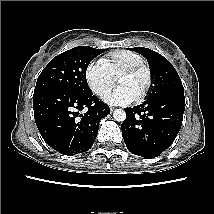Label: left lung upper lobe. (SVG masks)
I'll use <instances>...</instances> for the list:
<instances>
[{
    "mask_svg": "<svg viewBox=\"0 0 214 214\" xmlns=\"http://www.w3.org/2000/svg\"><path fill=\"white\" fill-rule=\"evenodd\" d=\"M142 54L154 75V88L148 99L171 91H184L180 77L173 65L161 54L144 47L130 48Z\"/></svg>",
    "mask_w": 214,
    "mask_h": 214,
    "instance_id": "5c2ea615",
    "label": "left lung upper lobe"
}]
</instances>
